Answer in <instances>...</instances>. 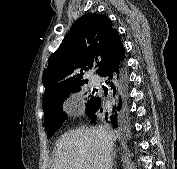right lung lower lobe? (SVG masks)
Masks as SVG:
<instances>
[{"mask_svg": "<svg viewBox=\"0 0 177 169\" xmlns=\"http://www.w3.org/2000/svg\"><path fill=\"white\" fill-rule=\"evenodd\" d=\"M105 78L109 89L108 97L94 96L92 105L86 111L92 123L104 120L118 127L127 116V73L124 59L105 68L100 74Z\"/></svg>", "mask_w": 177, "mask_h": 169, "instance_id": "obj_1", "label": "right lung lower lobe"}]
</instances>
